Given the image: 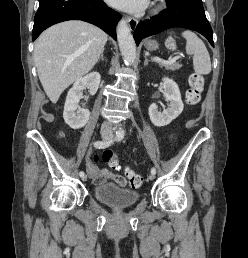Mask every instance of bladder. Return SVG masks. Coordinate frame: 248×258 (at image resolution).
<instances>
[{"label":"bladder","mask_w":248,"mask_h":258,"mask_svg":"<svg viewBox=\"0 0 248 258\" xmlns=\"http://www.w3.org/2000/svg\"><path fill=\"white\" fill-rule=\"evenodd\" d=\"M94 197L111 208H127L140 199V193L134 189L119 187L112 183L95 186Z\"/></svg>","instance_id":"bladder-1"}]
</instances>
